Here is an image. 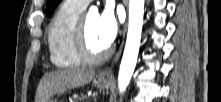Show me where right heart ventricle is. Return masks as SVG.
<instances>
[{
	"instance_id": "e07e8e85",
	"label": "right heart ventricle",
	"mask_w": 221,
	"mask_h": 102,
	"mask_svg": "<svg viewBox=\"0 0 221 102\" xmlns=\"http://www.w3.org/2000/svg\"><path fill=\"white\" fill-rule=\"evenodd\" d=\"M84 7L72 0H66L53 16L47 41L51 62L59 68H76L83 61L75 47V32Z\"/></svg>"
}]
</instances>
